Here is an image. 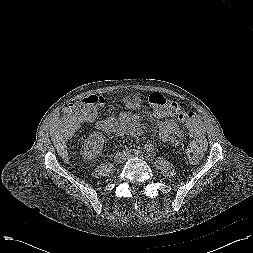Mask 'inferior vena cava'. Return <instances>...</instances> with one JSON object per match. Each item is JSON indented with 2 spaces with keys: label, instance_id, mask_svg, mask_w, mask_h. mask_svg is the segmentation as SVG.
<instances>
[{
  "label": "inferior vena cava",
  "instance_id": "602c4592",
  "mask_svg": "<svg viewBox=\"0 0 253 253\" xmlns=\"http://www.w3.org/2000/svg\"><path fill=\"white\" fill-rule=\"evenodd\" d=\"M126 160V154L125 153H117L115 156V161L117 162H123Z\"/></svg>",
  "mask_w": 253,
  "mask_h": 253
}]
</instances>
